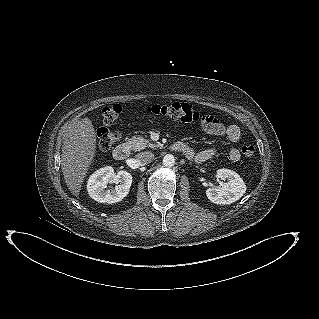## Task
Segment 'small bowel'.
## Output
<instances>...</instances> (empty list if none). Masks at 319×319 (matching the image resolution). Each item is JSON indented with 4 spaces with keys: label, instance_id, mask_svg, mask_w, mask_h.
I'll list each match as a JSON object with an SVG mask.
<instances>
[{
    "label": "small bowel",
    "instance_id": "1",
    "mask_svg": "<svg viewBox=\"0 0 319 319\" xmlns=\"http://www.w3.org/2000/svg\"><path fill=\"white\" fill-rule=\"evenodd\" d=\"M202 127L208 134L225 137L231 143H238L241 139V130L237 125H223L218 119L213 116H208L203 121ZM183 144L187 149L186 156L196 163L205 162L217 155V148H208L201 151L193 149L190 145ZM228 158L231 162H238L241 158L240 150L234 146L228 149Z\"/></svg>",
    "mask_w": 319,
    "mask_h": 319
}]
</instances>
